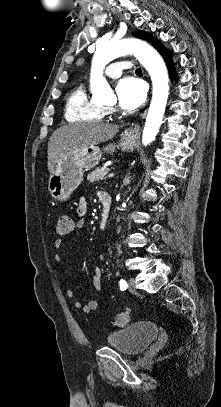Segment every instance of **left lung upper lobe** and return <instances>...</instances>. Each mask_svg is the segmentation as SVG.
Wrapping results in <instances>:
<instances>
[{"instance_id":"obj_1","label":"left lung upper lobe","mask_w":221,"mask_h":407,"mask_svg":"<svg viewBox=\"0 0 221 407\" xmlns=\"http://www.w3.org/2000/svg\"><path fill=\"white\" fill-rule=\"evenodd\" d=\"M134 35L140 39H144V40H148V41L152 42L153 45H155V43L157 41L155 38H152L151 34H149L148 32H145V31L134 32Z\"/></svg>"}]
</instances>
